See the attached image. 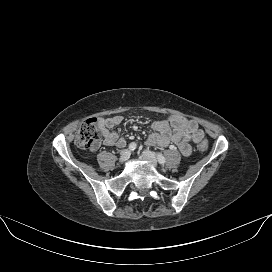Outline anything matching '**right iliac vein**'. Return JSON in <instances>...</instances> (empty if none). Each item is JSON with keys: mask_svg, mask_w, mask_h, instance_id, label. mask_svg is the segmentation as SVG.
Masks as SVG:
<instances>
[{"mask_svg": "<svg viewBox=\"0 0 272 272\" xmlns=\"http://www.w3.org/2000/svg\"><path fill=\"white\" fill-rule=\"evenodd\" d=\"M130 155H131V153H130L129 150H123V151H121L119 162L120 163L126 162L129 159Z\"/></svg>", "mask_w": 272, "mask_h": 272, "instance_id": "63e3f726", "label": "right iliac vein"}]
</instances>
